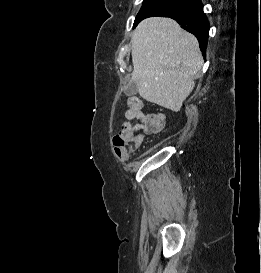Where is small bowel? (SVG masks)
I'll return each instance as SVG.
<instances>
[{"instance_id":"small-bowel-1","label":"small bowel","mask_w":261,"mask_h":273,"mask_svg":"<svg viewBox=\"0 0 261 273\" xmlns=\"http://www.w3.org/2000/svg\"><path fill=\"white\" fill-rule=\"evenodd\" d=\"M124 115L127 121L123 124V130L128 132L142 130L146 134H154L160 132L165 124V117L161 113L143 112L136 114L128 106ZM131 120H137L138 123L133 125L130 122Z\"/></svg>"}]
</instances>
